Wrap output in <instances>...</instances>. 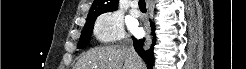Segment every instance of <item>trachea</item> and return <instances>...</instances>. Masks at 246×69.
<instances>
[{
    "mask_svg": "<svg viewBox=\"0 0 246 69\" xmlns=\"http://www.w3.org/2000/svg\"><path fill=\"white\" fill-rule=\"evenodd\" d=\"M138 4L141 11H146L145 0H139Z\"/></svg>",
    "mask_w": 246,
    "mask_h": 69,
    "instance_id": "obj_1",
    "label": "trachea"
}]
</instances>
